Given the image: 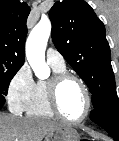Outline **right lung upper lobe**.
I'll return each instance as SVG.
<instances>
[{"label": "right lung upper lobe", "instance_id": "right-lung-upper-lobe-1", "mask_svg": "<svg viewBox=\"0 0 119 141\" xmlns=\"http://www.w3.org/2000/svg\"><path fill=\"white\" fill-rule=\"evenodd\" d=\"M29 13L25 2L0 0V68L20 69L23 65Z\"/></svg>", "mask_w": 119, "mask_h": 141}]
</instances>
